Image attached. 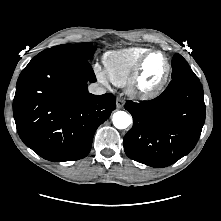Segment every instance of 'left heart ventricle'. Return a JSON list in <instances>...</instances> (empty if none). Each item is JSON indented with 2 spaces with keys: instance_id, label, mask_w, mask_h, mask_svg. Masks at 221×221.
Listing matches in <instances>:
<instances>
[{
  "instance_id": "1",
  "label": "left heart ventricle",
  "mask_w": 221,
  "mask_h": 221,
  "mask_svg": "<svg viewBox=\"0 0 221 221\" xmlns=\"http://www.w3.org/2000/svg\"><path fill=\"white\" fill-rule=\"evenodd\" d=\"M166 71V61L163 55H151L145 63L142 83L145 87L154 86Z\"/></svg>"
}]
</instances>
